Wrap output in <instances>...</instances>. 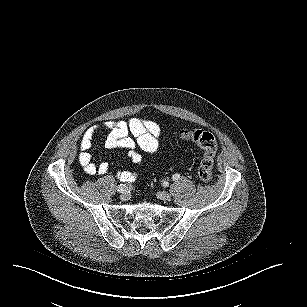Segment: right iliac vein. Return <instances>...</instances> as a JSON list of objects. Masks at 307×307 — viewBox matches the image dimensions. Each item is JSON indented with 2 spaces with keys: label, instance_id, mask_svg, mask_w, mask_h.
I'll use <instances>...</instances> for the list:
<instances>
[{
  "label": "right iliac vein",
  "instance_id": "right-iliac-vein-1",
  "mask_svg": "<svg viewBox=\"0 0 307 307\" xmlns=\"http://www.w3.org/2000/svg\"><path fill=\"white\" fill-rule=\"evenodd\" d=\"M120 199L122 201H127L129 199V194L127 192V189H124V191L120 193Z\"/></svg>",
  "mask_w": 307,
  "mask_h": 307
}]
</instances>
